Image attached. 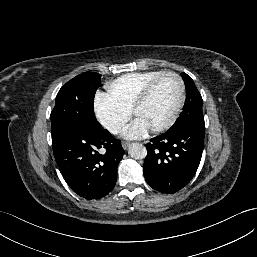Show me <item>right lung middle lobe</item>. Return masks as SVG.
<instances>
[{"mask_svg":"<svg viewBox=\"0 0 257 257\" xmlns=\"http://www.w3.org/2000/svg\"><path fill=\"white\" fill-rule=\"evenodd\" d=\"M100 81L101 74L84 72L59 90L50 115L52 140L68 131L97 132L103 129L94 114V96Z\"/></svg>","mask_w":257,"mask_h":257,"instance_id":"obj_1","label":"right lung middle lobe"}]
</instances>
